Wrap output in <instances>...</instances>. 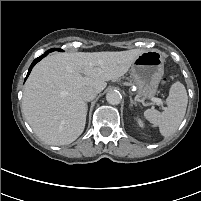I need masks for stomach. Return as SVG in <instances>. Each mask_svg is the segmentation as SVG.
Masks as SVG:
<instances>
[{
    "label": "stomach",
    "mask_w": 201,
    "mask_h": 201,
    "mask_svg": "<svg viewBox=\"0 0 201 201\" xmlns=\"http://www.w3.org/2000/svg\"><path fill=\"white\" fill-rule=\"evenodd\" d=\"M164 74V59L160 51L148 50L140 54L131 65L137 96L151 99L157 92Z\"/></svg>",
    "instance_id": "0dacf381"
}]
</instances>
